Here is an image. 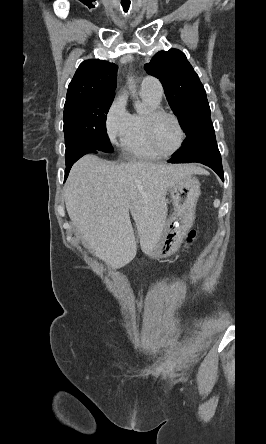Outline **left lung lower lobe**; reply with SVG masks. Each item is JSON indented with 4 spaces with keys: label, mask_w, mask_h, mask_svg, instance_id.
Returning <instances> with one entry per match:
<instances>
[{
    "label": "left lung lower lobe",
    "mask_w": 266,
    "mask_h": 444,
    "mask_svg": "<svg viewBox=\"0 0 266 444\" xmlns=\"http://www.w3.org/2000/svg\"><path fill=\"white\" fill-rule=\"evenodd\" d=\"M170 163L198 162L213 169L224 181L221 155L217 146L213 124L209 122L191 133Z\"/></svg>",
    "instance_id": "1"
}]
</instances>
